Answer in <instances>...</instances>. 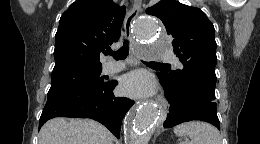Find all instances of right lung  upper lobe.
Returning a JSON list of instances; mask_svg holds the SVG:
<instances>
[{
	"mask_svg": "<svg viewBox=\"0 0 260 144\" xmlns=\"http://www.w3.org/2000/svg\"><path fill=\"white\" fill-rule=\"evenodd\" d=\"M125 6L112 0H77L61 16L55 35L53 70L102 66L100 53L120 37Z\"/></svg>",
	"mask_w": 260,
	"mask_h": 144,
	"instance_id": "right-lung-upper-lobe-1",
	"label": "right lung upper lobe"
}]
</instances>
